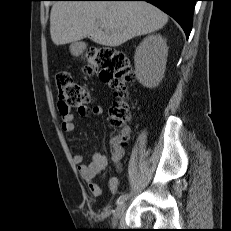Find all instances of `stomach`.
Wrapping results in <instances>:
<instances>
[{
    "mask_svg": "<svg viewBox=\"0 0 231 231\" xmlns=\"http://www.w3.org/2000/svg\"><path fill=\"white\" fill-rule=\"evenodd\" d=\"M79 50H80L79 43H73V44L71 45V51H72L73 53H77Z\"/></svg>",
    "mask_w": 231,
    "mask_h": 231,
    "instance_id": "0dacf381",
    "label": "stomach"
}]
</instances>
